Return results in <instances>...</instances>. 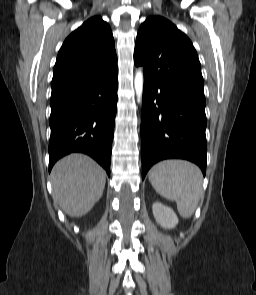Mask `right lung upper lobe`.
Returning a JSON list of instances; mask_svg holds the SVG:
<instances>
[{
  "instance_id": "obj_1",
  "label": "right lung upper lobe",
  "mask_w": 256,
  "mask_h": 295,
  "mask_svg": "<svg viewBox=\"0 0 256 295\" xmlns=\"http://www.w3.org/2000/svg\"><path fill=\"white\" fill-rule=\"evenodd\" d=\"M117 67L114 39L109 25L95 16L72 32L59 50L51 86L92 76Z\"/></svg>"
}]
</instances>
